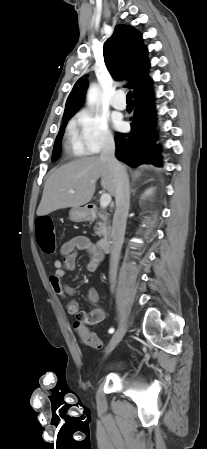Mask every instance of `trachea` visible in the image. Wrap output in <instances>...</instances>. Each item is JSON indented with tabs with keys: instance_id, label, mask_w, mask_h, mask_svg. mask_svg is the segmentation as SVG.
<instances>
[{
	"instance_id": "trachea-1",
	"label": "trachea",
	"mask_w": 207,
	"mask_h": 449,
	"mask_svg": "<svg viewBox=\"0 0 207 449\" xmlns=\"http://www.w3.org/2000/svg\"><path fill=\"white\" fill-rule=\"evenodd\" d=\"M126 98H127V101H128V102H132V92H131V91H129V92L127 93Z\"/></svg>"
}]
</instances>
